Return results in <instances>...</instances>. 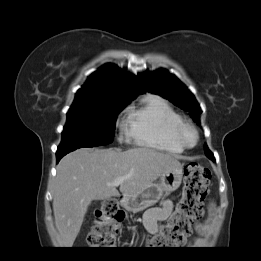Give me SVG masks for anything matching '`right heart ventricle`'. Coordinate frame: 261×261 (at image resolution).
<instances>
[{"label":"right heart ventricle","mask_w":261,"mask_h":261,"mask_svg":"<svg viewBox=\"0 0 261 261\" xmlns=\"http://www.w3.org/2000/svg\"><path fill=\"white\" fill-rule=\"evenodd\" d=\"M181 116L162 97L148 95L127 110L128 135L136 145L180 154L184 147L176 137Z\"/></svg>","instance_id":"obj_1"}]
</instances>
